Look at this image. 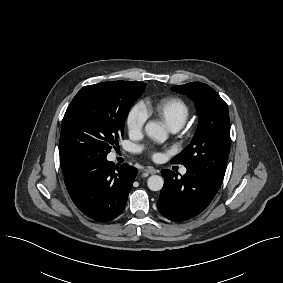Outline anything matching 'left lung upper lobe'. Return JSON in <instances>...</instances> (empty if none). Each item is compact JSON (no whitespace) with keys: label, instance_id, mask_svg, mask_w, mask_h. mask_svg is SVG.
Segmentation results:
<instances>
[{"label":"left lung upper lobe","instance_id":"5c2ea615","mask_svg":"<svg viewBox=\"0 0 283 283\" xmlns=\"http://www.w3.org/2000/svg\"><path fill=\"white\" fill-rule=\"evenodd\" d=\"M195 102L199 125L195 136L171 162L182 164L204 177L221 184L230 151V119L228 107L219 94L200 82L172 87Z\"/></svg>","mask_w":283,"mask_h":283}]
</instances>
